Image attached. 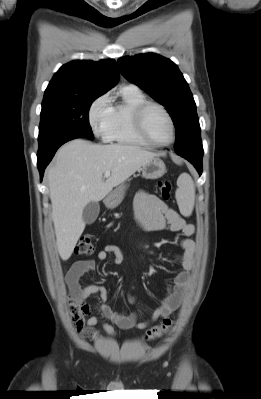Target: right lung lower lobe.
Instances as JSON below:
<instances>
[{"instance_id": "right-lung-lower-lobe-1", "label": "right lung lower lobe", "mask_w": 261, "mask_h": 399, "mask_svg": "<svg viewBox=\"0 0 261 399\" xmlns=\"http://www.w3.org/2000/svg\"><path fill=\"white\" fill-rule=\"evenodd\" d=\"M81 137L85 136L73 131H62L39 143L37 166L40 172L41 180L43 178L46 166L55 155L57 149L64 143Z\"/></svg>"}]
</instances>
